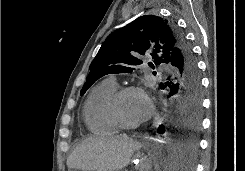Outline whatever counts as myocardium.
<instances>
[{
  "label": "myocardium",
  "instance_id": "obj_1",
  "mask_svg": "<svg viewBox=\"0 0 245 171\" xmlns=\"http://www.w3.org/2000/svg\"><path fill=\"white\" fill-rule=\"evenodd\" d=\"M130 93H137L146 98V92L139 86H134V85H129V86H124L115 91V93L112 95L109 103V109H110V114L113 118V120L116 122V124L119 126L121 129L125 130H134L139 127H141V123H129L126 122L121 114H120V102L121 99Z\"/></svg>",
  "mask_w": 245,
  "mask_h": 171
}]
</instances>
